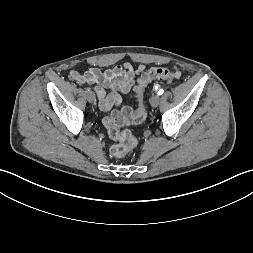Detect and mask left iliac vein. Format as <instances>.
Wrapping results in <instances>:
<instances>
[{
	"label": "left iliac vein",
	"mask_w": 253,
	"mask_h": 253,
	"mask_svg": "<svg viewBox=\"0 0 253 253\" xmlns=\"http://www.w3.org/2000/svg\"><path fill=\"white\" fill-rule=\"evenodd\" d=\"M160 102V97L159 95H154L152 96V98L150 99V103L152 107H157L159 105Z\"/></svg>",
	"instance_id": "obj_1"
}]
</instances>
